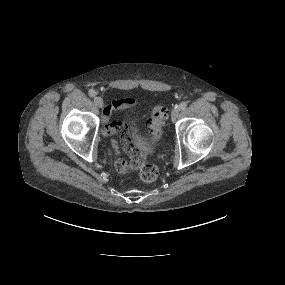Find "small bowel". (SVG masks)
<instances>
[{
	"instance_id": "small-bowel-1",
	"label": "small bowel",
	"mask_w": 285,
	"mask_h": 285,
	"mask_svg": "<svg viewBox=\"0 0 285 285\" xmlns=\"http://www.w3.org/2000/svg\"><path fill=\"white\" fill-rule=\"evenodd\" d=\"M135 104H136V102L132 98H122V99L113 100L103 110V114H102L103 121L106 122L108 120L112 111L131 108V107L135 106ZM113 124L120 125L122 127V129L124 131H126V127L124 124L116 122V123H112V124L108 125L105 128V134H112L113 133L112 128H111V125H113ZM114 145L117 146L116 143H114ZM130 168H132V167L130 166L129 162H127L125 160L119 159L116 162V169L120 173H126Z\"/></svg>"
}]
</instances>
